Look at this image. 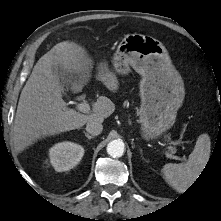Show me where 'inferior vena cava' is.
Instances as JSON below:
<instances>
[{"mask_svg": "<svg viewBox=\"0 0 221 221\" xmlns=\"http://www.w3.org/2000/svg\"><path fill=\"white\" fill-rule=\"evenodd\" d=\"M103 130L102 122L99 120H93L87 123L86 131L93 136L99 135Z\"/></svg>", "mask_w": 221, "mask_h": 221, "instance_id": "inferior-vena-cava-1", "label": "inferior vena cava"}]
</instances>
